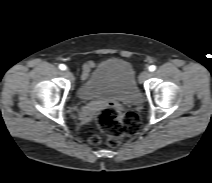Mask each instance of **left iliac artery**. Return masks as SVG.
Listing matches in <instances>:
<instances>
[{
	"label": "left iliac artery",
	"mask_w": 212,
	"mask_h": 183,
	"mask_svg": "<svg viewBox=\"0 0 212 183\" xmlns=\"http://www.w3.org/2000/svg\"><path fill=\"white\" fill-rule=\"evenodd\" d=\"M156 70V66L155 65H151L150 67H149V71L150 72H153V71H155Z\"/></svg>",
	"instance_id": "44dca946"
}]
</instances>
